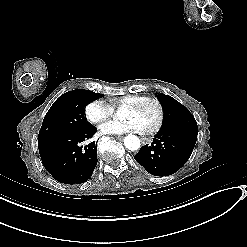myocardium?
Returning <instances> with one entry per match:
<instances>
[{
    "mask_svg": "<svg viewBox=\"0 0 247 247\" xmlns=\"http://www.w3.org/2000/svg\"><path fill=\"white\" fill-rule=\"evenodd\" d=\"M148 102H153L158 106V120L155 127L146 133L148 135H156L161 130L165 119V107L163 102L158 97L143 96L140 99L136 100L135 102L126 105L125 107L132 110H139L142 108L144 104Z\"/></svg>",
    "mask_w": 247,
    "mask_h": 247,
    "instance_id": "1",
    "label": "myocardium"
}]
</instances>
